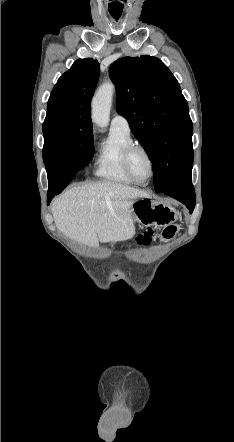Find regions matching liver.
Returning <instances> with one entry per match:
<instances>
[{
    "label": "liver",
    "instance_id": "liver-1",
    "mask_svg": "<svg viewBox=\"0 0 234 442\" xmlns=\"http://www.w3.org/2000/svg\"><path fill=\"white\" fill-rule=\"evenodd\" d=\"M146 192L118 183L99 182L68 189L52 204L55 225L69 238L95 247L135 234L131 206Z\"/></svg>",
    "mask_w": 234,
    "mask_h": 442
}]
</instances>
